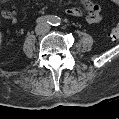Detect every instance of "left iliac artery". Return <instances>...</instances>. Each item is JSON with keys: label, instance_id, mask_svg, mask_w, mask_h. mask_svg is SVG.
Returning a JSON list of instances; mask_svg holds the SVG:
<instances>
[{"label": "left iliac artery", "instance_id": "left-iliac-artery-1", "mask_svg": "<svg viewBox=\"0 0 119 119\" xmlns=\"http://www.w3.org/2000/svg\"><path fill=\"white\" fill-rule=\"evenodd\" d=\"M54 25H59V22H57L56 24H54Z\"/></svg>", "mask_w": 119, "mask_h": 119}]
</instances>
